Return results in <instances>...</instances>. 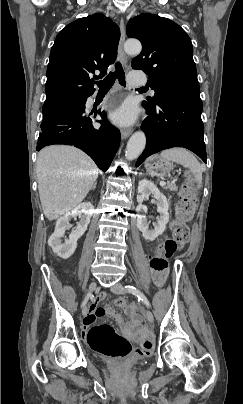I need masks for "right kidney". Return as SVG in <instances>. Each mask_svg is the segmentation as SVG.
<instances>
[{
  "label": "right kidney",
  "instance_id": "right-kidney-1",
  "mask_svg": "<svg viewBox=\"0 0 243 404\" xmlns=\"http://www.w3.org/2000/svg\"><path fill=\"white\" fill-rule=\"evenodd\" d=\"M92 214L91 204H79L77 208H74L71 212H66L65 216H61L56 222L54 234L48 240V246L52 248V252L57 254L59 258H63V260L70 258L77 248L78 238H81L86 232ZM77 216H79L80 222H77V226L71 232L68 240L62 242L61 238H65L64 234L69 228L68 224L71 218H77Z\"/></svg>",
  "mask_w": 243,
  "mask_h": 404
}]
</instances>
